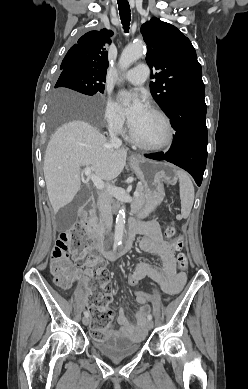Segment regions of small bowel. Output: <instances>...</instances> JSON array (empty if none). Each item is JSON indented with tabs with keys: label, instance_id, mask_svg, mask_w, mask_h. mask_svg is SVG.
<instances>
[{
	"label": "small bowel",
	"instance_id": "c3829d8e",
	"mask_svg": "<svg viewBox=\"0 0 248 389\" xmlns=\"http://www.w3.org/2000/svg\"><path fill=\"white\" fill-rule=\"evenodd\" d=\"M136 224L140 226V233L144 234L140 241V249L145 253L159 256L163 267L160 270L147 262L141 261L137 264L136 269L131 272L132 277H136L138 282L145 277L151 278L157 283L162 292L169 295L178 293L185 284L186 277L183 273H176L175 252L177 249L174 243L162 240L157 222ZM89 267H91V264L88 265L86 273L90 272ZM135 301L140 305V308L133 313L134 322L131 320L128 311L121 308L117 319L120 325L119 330L109 329L103 333L105 336L120 335L133 341L143 339L147 331V318L151 310L150 303L149 301H141V298H135ZM86 303L91 305L89 302Z\"/></svg>",
	"mask_w": 248,
	"mask_h": 389
}]
</instances>
